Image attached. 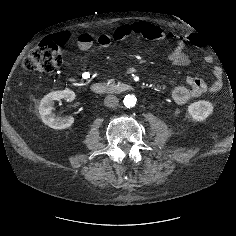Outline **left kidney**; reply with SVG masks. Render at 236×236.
<instances>
[{"label": "left kidney", "instance_id": "left-kidney-1", "mask_svg": "<svg viewBox=\"0 0 236 236\" xmlns=\"http://www.w3.org/2000/svg\"><path fill=\"white\" fill-rule=\"evenodd\" d=\"M187 111L193 120L201 122L213 113V105L209 101L200 100L190 104Z\"/></svg>", "mask_w": 236, "mask_h": 236}]
</instances>
